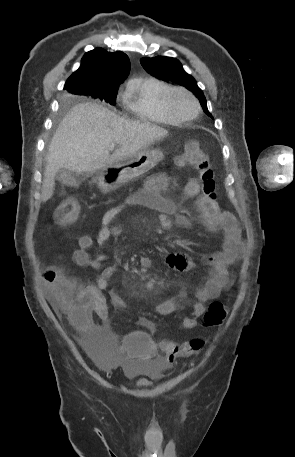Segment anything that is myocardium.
I'll return each mask as SVG.
<instances>
[{
    "label": "myocardium",
    "instance_id": "myocardium-1",
    "mask_svg": "<svg viewBox=\"0 0 295 457\" xmlns=\"http://www.w3.org/2000/svg\"><path fill=\"white\" fill-rule=\"evenodd\" d=\"M177 94H184L193 101L195 105V112L192 116H182L175 110L173 99ZM163 101L167 111L179 122H189L194 120L199 115L201 110L200 103L196 96L189 90L182 87H171L168 89L163 96Z\"/></svg>",
    "mask_w": 295,
    "mask_h": 457
}]
</instances>
